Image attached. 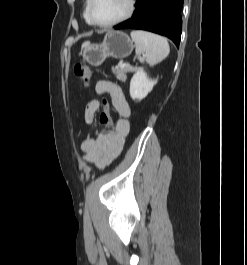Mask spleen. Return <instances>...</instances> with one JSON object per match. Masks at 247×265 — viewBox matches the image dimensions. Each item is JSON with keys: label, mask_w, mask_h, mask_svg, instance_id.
I'll use <instances>...</instances> for the list:
<instances>
[{"label": "spleen", "mask_w": 247, "mask_h": 265, "mask_svg": "<svg viewBox=\"0 0 247 265\" xmlns=\"http://www.w3.org/2000/svg\"><path fill=\"white\" fill-rule=\"evenodd\" d=\"M130 35L135 42L136 56L141 63L146 62L153 66L165 59L170 52L166 38L160 35L142 30H134Z\"/></svg>", "instance_id": "1"}]
</instances>
